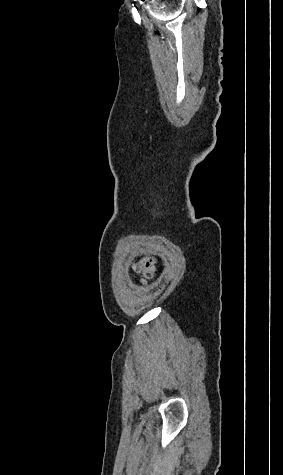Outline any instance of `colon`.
I'll list each match as a JSON object with an SVG mask.
<instances>
[{
	"instance_id": "obj_1",
	"label": "colon",
	"mask_w": 283,
	"mask_h": 475,
	"mask_svg": "<svg viewBox=\"0 0 283 475\" xmlns=\"http://www.w3.org/2000/svg\"><path fill=\"white\" fill-rule=\"evenodd\" d=\"M138 268H136V275L142 281L147 280L152 276V258L142 257L139 260Z\"/></svg>"
}]
</instances>
